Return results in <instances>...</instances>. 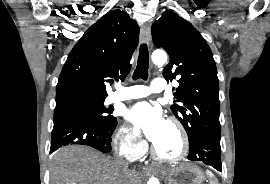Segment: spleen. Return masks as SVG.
<instances>
[{"label":"spleen","instance_id":"obj_1","mask_svg":"<svg viewBox=\"0 0 270 184\" xmlns=\"http://www.w3.org/2000/svg\"><path fill=\"white\" fill-rule=\"evenodd\" d=\"M207 174L210 177V184H219L218 181L213 177V175L210 172H207Z\"/></svg>","mask_w":270,"mask_h":184}]
</instances>
